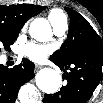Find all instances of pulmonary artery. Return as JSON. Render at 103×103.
<instances>
[{
	"label": "pulmonary artery",
	"instance_id": "1",
	"mask_svg": "<svg viewBox=\"0 0 103 103\" xmlns=\"http://www.w3.org/2000/svg\"><path fill=\"white\" fill-rule=\"evenodd\" d=\"M68 28L67 20L60 22L59 24L53 26L54 33L57 36H62Z\"/></svg>",
	"mask_w": 103,
	"mask_h": 103
}]
</instances>
